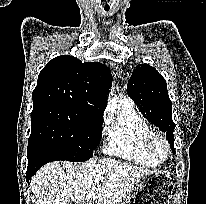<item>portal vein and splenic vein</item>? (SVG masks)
I'll use <instances>...</instances> for the list:
<instances>
[{
  "label": "portal vein and splenic vein",
  "instance_id": "portal-vein-and-splenic-vein-1",
  "mask_svg": "<svg viewBox=\"0 0 206 204\" xmlns=\"http://www.w3.org/2000/svg\"><path fill=\"white\" fill-rule=\"evenodd\" d=\"M103 180V177L102 176H97L94 180L95 183H99L100 181Z\"/></svg>",
  "mask_w": 206,
  "mask_h": 204
}]
</instances>
